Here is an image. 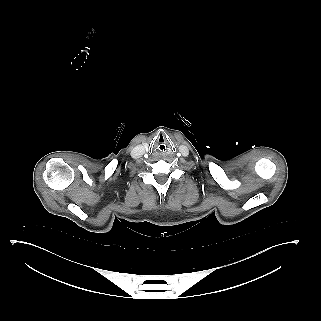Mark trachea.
<instances>
[{"label": "trachea", "mask_w": 321, "mask_h": 321, "mask_svg": "<svg viewBox=\"0 0 321 321\" xmlns=\"http://www.w3.org/2000/svg\"><path fill=\"white\" fill-rule=\"evenodd\" d=\"M156 150H157L159 153H164V152L167 150V145H166L164 142H159V143L156 145Z\"/></svg>", "instance_id": "3493384b"}]
</instances>
